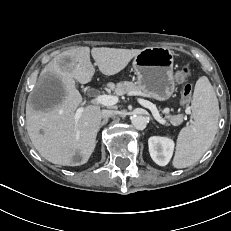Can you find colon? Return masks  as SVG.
<instances>
[{"mask_svg": "<svg viewBox=\"0 0 231 231\" xmlns=\"http://www.w3.org/2000/svg\"><path fill=\"white\" fill-rule=\"evenodd\" d=\"M191 74V70L189 67L184 66L180 71L177 72L176 78L180 81H184ZM192 94V86L190 84H186L181 92V102L183 104H187L191 99Z\"/></svg>", "mask_w": 231, "mask_h": 231, "instance_id": "1", "label": "colon"}]
</instances>
